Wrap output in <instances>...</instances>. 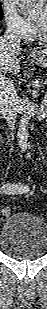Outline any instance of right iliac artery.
Segmentation results:
<instances>
[{
    "mask_svg": "<svg viewBox=\"0 0 47 309\" xmlns=\"http://www.w3.org/2000/svg\"><path fill=\"white\" fill-rule=\"evenodd\" d=\"M29 190L28 186L9 184L4 188L6 194H22Z\"/></svg>",
    "mask_w": 47,
    "mask_h": 309,
    "instance_id": "1",
    "label": "right iliac artery"
}]
</instances>
